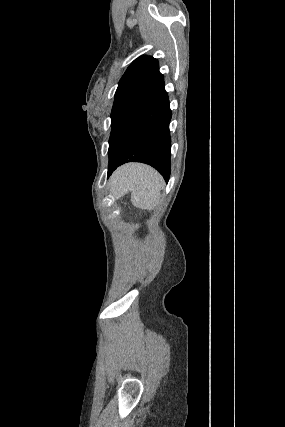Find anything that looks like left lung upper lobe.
<instances>
[{
	"instance_id": "5c2ea615",
	"label": "left lung upper lobe",
	"mask_w": 285,
	"mask_h": 427,
	"mask_svg": "<svg viewBox=\"0 0 285 427\" xmlns=\"http://www.w3.org/2000/svg\"><path fill=\"white\" fill-rule=\"evenodd\" d=\"M163 86L164 77L157 59L143 55L127 68L119 81L111 112L109 164L126 127Z\"/></svg>"
}]
</instances>
